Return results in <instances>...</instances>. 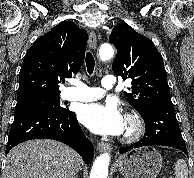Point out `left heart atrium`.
<instances>
[{
	"label": "left heart atrium",
	"instance_id": "1",
	"mask_svg": "<svg viewBox=\"0 0 194 178\" xmlns=\"http://www.w3.org/2000/svg\"><path fill=\"white\" fill-rule=\"evenodd\" d=\"M80 122L99 135H121L125 130V118L113 103L83 105L78 113Z\"/></svg>",
	"mask_w": 194,
	"mask_h": 178
}]
</instances>
